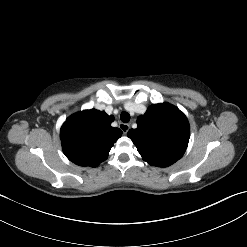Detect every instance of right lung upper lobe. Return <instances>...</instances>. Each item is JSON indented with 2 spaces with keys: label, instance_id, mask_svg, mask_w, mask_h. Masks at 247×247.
Listing matches in <instances>:
<instances>
[{
  "label": "right lung upper lobe",
  "instance_id": "right-lung-upper-lobe-1",
  "mask_svg": "<svg viewBox=\"0 0 247 247\" xmlns=\"http://www.w3.org/2000/svg\"><path fill=\"white\" fill-rule=\"evenodd\" d=\"M112 115L95 109L69 117L60 131L65 156L80 166L96 167L106 160L122 131L112 128Z\"/></svg>",
  "mask_w": 247,
  "mask_h": 247
}]
</instances>
